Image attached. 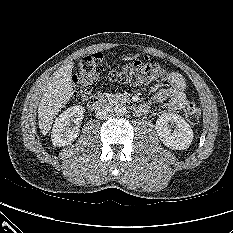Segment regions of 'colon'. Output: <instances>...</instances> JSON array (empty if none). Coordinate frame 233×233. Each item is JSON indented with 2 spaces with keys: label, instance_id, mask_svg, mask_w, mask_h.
<instances>
[{
  "label": "colon",
  "instance_id": "colon-1",
  "mask_svg": "<svg viewBox=\"0 0 233 233\" xmlns=\"http://www.w3.org/2000/svg\"><path fill=\"white\" fill-rule=\"evenodd\" d=\"M167 77L165 69L157 63L135 61L107 68L103 54L93 53L81 60L73 77V97L78 102L86 100L94 91V83L101 78H107L112 82L139 85L161 82ZM184 113L189 123L199 122L200 110L194 103H188Z\"/></svg>",
  "mask_w": 233,
  "mask_h": 233
}]
</instances>
